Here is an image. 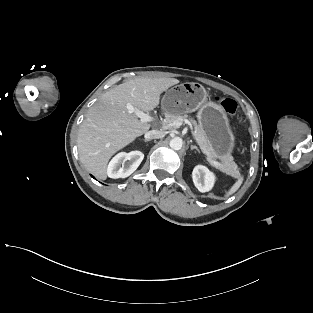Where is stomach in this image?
I'll use <instances>...</instances> for the list:
<instances>
[{"label": "stomach", "mask_w": 313, "mask_h": 313, "mask_svg": "<svg viewBox=\"0 0 313 313\" xmlns=\"http://www.w3.org/2000/svg\"><path fill=\"white\" fill-rule=\"evenodd\" d=\"M205 88L194 82H185L166 91L162 108L166 114L182 115L198 111L199 126L212 146L215 159L221 162L231 155L235 139L223 108L208 100Z\"/></svg>", "instance_id": "0dacf381"}]
</instances>
